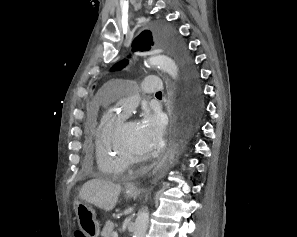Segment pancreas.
<instances>
[{"instance_id":"1","label":"pancreas","mask_w":297,"mask_h":237,"mask_svg":"<svg viewBox=\"0 0 297 237\" xmlns=\"http://www.w3.org/2000/svg\"><path fill=\"white\" fill-rule=\"evenodd\" d=\"M114 228H115V224L111 221H107L102 232H101V236L102 237H113Z\"/></svg>"}]
</instances>
